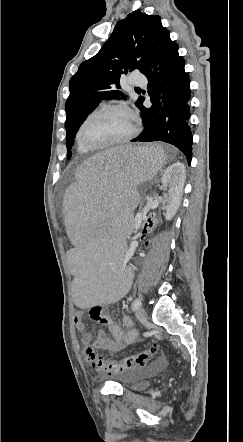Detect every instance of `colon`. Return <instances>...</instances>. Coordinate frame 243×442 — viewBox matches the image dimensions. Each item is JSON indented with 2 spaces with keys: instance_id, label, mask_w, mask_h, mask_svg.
I'll return each instance as SVG.
<instances>
[{
  "instance_id": "1",
  "label": "colon",
  "mask_w": 243,
  "mask_h": 442,
  "mask_svg": "<svg viewBox=\"0 0 243 442\" xmlns=\"http://www.w3.org/2000/svg\"><path fill=\"white\" fill-rule=\"evenodd\" d=\"M156 224L155 219L150 216H146L143 219L142 229L138 238L139 243L146 244L151 253L156 251L154 247V241L157 235L153 233L157 231L154 228ZM157 353V347L152 346L145 349L137 354L130 356H122L121 359H105L96 353V351L91 346H86L85 348V358L84 365L92 366L96 371L107 374V375H118L134 371L138 368L144 367L146 365L153 364V358Z\"/></svg>"
}]
</instances>
